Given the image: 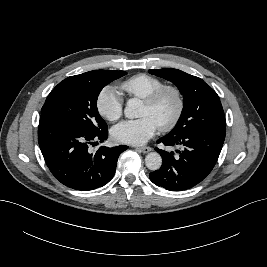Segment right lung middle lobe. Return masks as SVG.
I'll use <instances>...</instances> for the list:
<instances>
[{
	"instance_id": "obj_1",
	"label": "right lung middle lobe",
	"mask_w": 267,
	"mask_h": 267,
	"mask_svg": "<svg viewBox=\"0 0 267 267\" xmlns=\"http://www.w3.org/2000/svg\"><path fill=\"white\" fill-rule=\"evenodd\" d=\"M126 75L125 71L94 70L66 78L48 95L41 115H48L87 132L107 130L97 109V98L110 82Z\"/></svg>"
}]
</instances>
